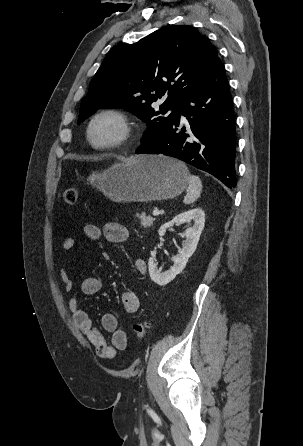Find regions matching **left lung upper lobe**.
I'll return each mask as SVG.
<instances>
[{"label":"left lung upper lobe","mask_w":303,"mask_h":446,"mask_svg":"<svg viewBox=\"0 0 303 446\" xmlns=\"http://www.w3.org/2000/svg\"><path fill=\"white\" fill-rule=\"evenodd\" d=\"M217 58L209 39L188 25L168 26L135 44L115 46L90 82L78 124L100 108L126 109L147 122L143 146L170 123L175 105ZM161 98L159 110L153 109L151 104Z\"/></svg>","instance_id":"5c2ea615"}]
</instances>
